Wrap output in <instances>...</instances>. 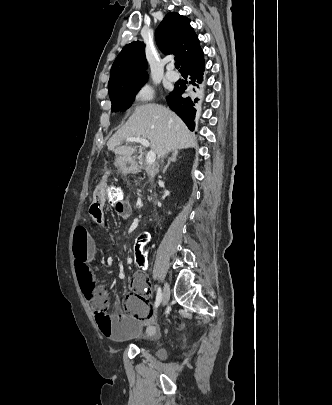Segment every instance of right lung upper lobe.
<instances>
[{"label":"right lung upper lobe","mask_w":332,"mask_h":405,"mask_svg":"<svg viewBox=\"0 0 332 405\" xmlns=\"http://www.w3.org/2000/svg\"><path fill=\"white\" fill-rule=\"evenodd\" d=\"M159 49L166 55L174 54L181 63L180 72L203 58V50L190 19L176 12L168 13L155 32ZM145 44H127L114 61L108 82V90L119 83L133 79L147 78Z\"/></svg>","instance_id":"cb5924a9"}]
</instances>
